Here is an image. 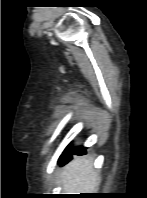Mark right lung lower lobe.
<instances>
[{
    "label": "right lung lower lobe",
    "instance_id": "right-lung-lower-lobe-1",
    "mask_svg": "<svg viewBox=\"0 0 147 198\" xmlns=\"http://www.w3.org/2000/svg\"><path fill=\"white\" fill-rule=\"evenodd\" d=\"M84 154H86L85 147L70 148L69 145L60 156L59 162L61 164H64L71 159V155H84Z\"/></svg>",
    "mask_w": 147,
    "mask_h": 198
}]
</instances>
